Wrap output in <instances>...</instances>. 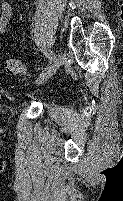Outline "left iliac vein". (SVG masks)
Wrapping results in <instances>:
<instances>
[{"label":"left iliac vein","instance_id":"4c4485c4","mask_svg":"<svg viewBox=\"0 0 123 201\" xmlns=\"http://www.w3.org/2000/svg\"><path fill=\"white\" fill-rule=\"evenodd\" d=\"M64 59L65 57L62 53H57L55 58L51 61L50 65L37 78L36 83L42 84L43 82L47 81L56 72Z\"/></svg>","mask_w":123,"mask_h":201}]
</instances>
